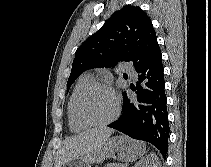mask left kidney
Wrapping results in <instances>:
<instances>
[{
  "label": "left kidney",
  "instance_id": "obj_1",
  "mask_svg": "<svg viewBox=\"0 0 211 167\" xmlns=\"http://www.w3.org/2000/svg\"><path fill=\"white\" fill-rule=\"evenodd\" d=\"M134 167H161V163L155 154H149L140 160Z\"/></svg>",
  "mask_w": 211,
  "mask_h": 167
}]
</instances>
